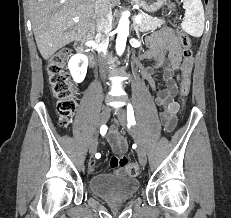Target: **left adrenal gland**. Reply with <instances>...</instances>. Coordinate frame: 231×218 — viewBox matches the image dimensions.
<instances>
[{
  "instance_id": "a2214340",
  "label": "left adrenal gland",
  "mask_w": 231,
  "mask_h": 218,
  "mask_svg": "<svg viewBox=\"0 0 231 218\" xmlns=\"http://www.w3.org/2000/svg\"><path fill=\"white\" fill-rule=\"evenodd\" d=\"M133 27H134L137 37H140L139 29H138V26L135 24V22L133 23Z\"/></svg>"
}]
</instances>
